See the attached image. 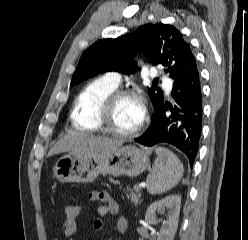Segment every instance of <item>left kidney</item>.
Here are the masks:
<instances>
[{
  "mask_svg": "<svg viewBox=\"0 0 248 240\" xmlns=\"http://www.w3.org/2000/svg\"><path fill=\"white\" fill-rule=\"evenodd\" d=\"M181 207V197L170 195L160 201L152 203L145 215V220L149 224L158 223L157 215L166 214L157 240H173L178 227V218Z\"/></svg>",
  "mask_w": 248,
  "mask_h": 240,
  "instance_id": "left-kidney-1",
  "label": "left kidney"
}]
</instances>
